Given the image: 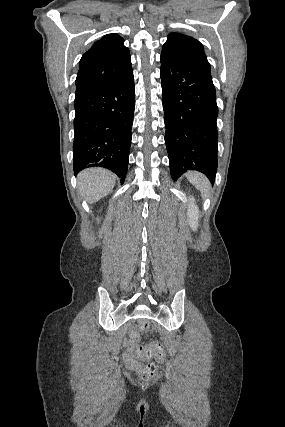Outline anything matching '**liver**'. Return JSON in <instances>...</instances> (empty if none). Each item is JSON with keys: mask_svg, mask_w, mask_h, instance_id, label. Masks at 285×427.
Masks as SVG:
<instances>
[{"mask_svg": "<svg viewBox=\"0 0 285 427\" xmlns=\"http://www.w3.org/2000/svg\"><path fill=\"white\" fill-rule=\"evenodd\" d=\"M80 193L93 204L112 191L116 176L103 168H88L77 176Z\"/></svg>", "mask_w": 285, "mask_h": 427, "instance_id": "1", "label": "liver"}]
</instances>
